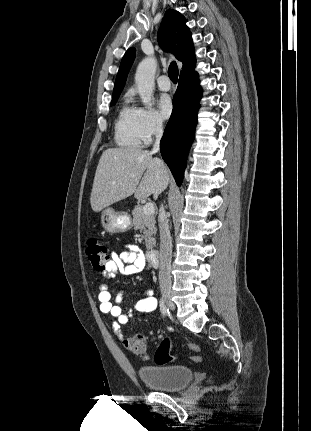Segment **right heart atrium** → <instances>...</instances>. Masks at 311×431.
<instances>
[{"label": "right heart atrium", "instance_id": "obj_1", "mask_svg": "<svg viewBox=\"0 0 311 431\" xmlns=\"http://www.w3.org/2000/svg\"><path fill=\"white\" fill-rule=\"evenodd\" d=\"M144 130V142L150 143L153 139L160 137L165 128L162 116L152 107L138 109Z\"/></svg>", "mask_w": 311, "mask_h": 431}]
</instances>
